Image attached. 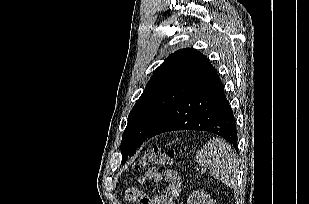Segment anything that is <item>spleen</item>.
<instances>
[{"mask_svg":"<svg viewBox=\"0 0 309 204\" xmlns=\"http://www.w3.org/2000/svg\"><path fill=\"white\" fill-rule=\"evenodd\" d=\"M196 160L207 167L210 174L228 187H234L238 175V161L231 146L215 138L197 151Z\"/></svg>","mask_w":309,"mask_h":204,"instance_id":"obj_1","label":"spleen"}]
</instances>
